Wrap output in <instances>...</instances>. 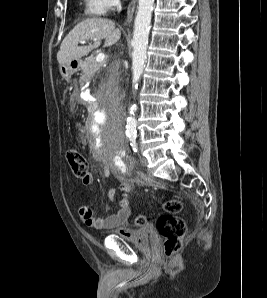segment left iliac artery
I'll list each match as a JSON object with an SVG mask.
<instances>
[{
	"label": "left iliac artery",
	"mask_w": 267,
	"mask_h": 298,
	"mask_svg": "<svg viewBox=\"0 0 267 298\" xmlns=\"http://www.w3.org/2000/svg\"><path fill=\"white\" fill-rule=\"evenodd\" d=\"M130 145L134 152H137V143H136V136L129 137Z\"/></svg>",
	"instance_id": "44dca946"
}]
</instances>
